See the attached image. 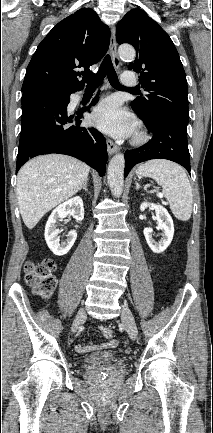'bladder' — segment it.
Returning a JSON list of instances; mask_svg holds the SVG:
<instances>
[{"label":"bladder","mask_w":213,"mask_h":433,"mask_svg":"<svg viewBox=\"0 0 213 433\" xmlns=\"http://www.w3.org/2000/svg\"><path fill=\"white\" fill-rule=\"evenodd\" d=\"M117 360V356L114 352H97L89 355L85 359V363L89 366L100 365L105 363L114 362Z\"/></svg>","instance_id":"obj_1"}]
</instances>
